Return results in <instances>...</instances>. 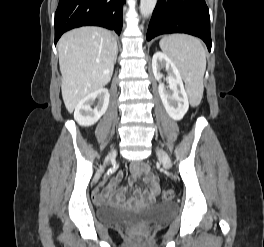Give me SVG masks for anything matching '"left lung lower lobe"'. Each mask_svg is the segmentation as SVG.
Segmentation results:
<instances>
[{
	"label": "left lung lower lobe",
	"instance_id": "0a47b994",
	"mask_svg": "<svg viewBox=\"0 0 264 247\" xmlns=\"http://www.w3.org/2000/svg\"><path fill=\"white\" fill-rule=\"evenodd\" d=\"M169 33L197 36L210 51V16L205 0H158L149 23L147 40Z\"/></svg>",
	"mask_w": 264,
	"mask_h": 247
}]
</instances>
